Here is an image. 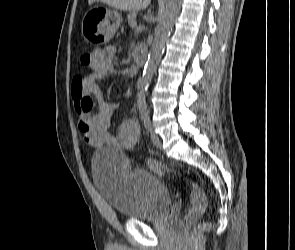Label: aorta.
I'll list each match as a JSON object with an SVG mask.
<instances>
[{
    "label": "aorta",
    "instance_id": "762f6f07",
    "mask_svg": "<svg viewBox=\"0 0 295 250\" xmlns=\"http://www.w3.org/2000/svg\"><path fill=\"white\" fill-rule=\"evenodd\" d=\"M181 2L182 0H166L165 8L159 17V22L155 29V37L144 67L140 92L137 97L139 107H143L146 104L145 93L160 62L174 20L179 14Z\"/></svg>",
    "mask_w": 295,
    "mask_h": 250
}]
</instances>
